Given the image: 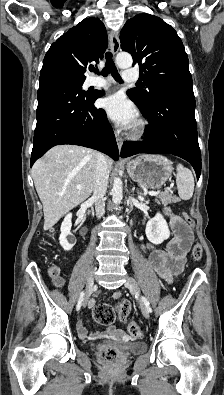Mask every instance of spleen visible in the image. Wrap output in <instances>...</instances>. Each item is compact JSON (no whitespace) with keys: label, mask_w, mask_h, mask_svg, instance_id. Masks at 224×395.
Instances as JSON below:
<instances>
[{"label":"spleen","mask_w":224,"mask_h":395,"mask_svg":"<svg viewBox=\"0 0 224 395\" xmlns=\"http://www.w3.org/2000/svg\"><path fill=\"white\" fill-rule=\"evenodd\" d=\"M176 184L182 200H189L194 192V177L192 172L182 164L177 165Z\"/></svg>","instance_id":"spleen-1"}]
</instances>
